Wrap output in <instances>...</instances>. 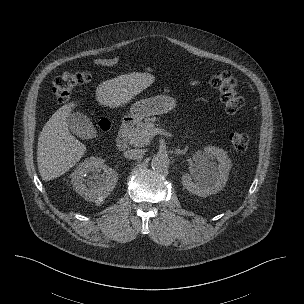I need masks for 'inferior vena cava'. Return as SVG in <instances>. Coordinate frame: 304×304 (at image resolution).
<instances>
[{
  "label": "inferior vena cava",
  "mask_w": 304,
  "mask_h": 304,
  "mask_svg": "<svg viewBox=\"0 0 304 304\" xmlns=\"http://www.w3.org/2000/svg\"><path fill=\"white\" fill-rule=\"evenodd\" d=\"M144 154L142 149H131L124 152V156L128 159H140Z\"/></svg>",
  "instance_id": "602c4592"
}]
</instances>
